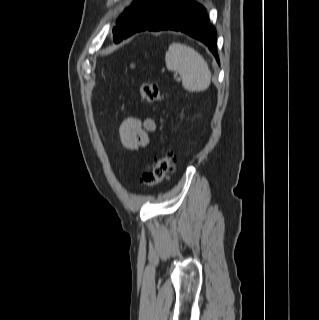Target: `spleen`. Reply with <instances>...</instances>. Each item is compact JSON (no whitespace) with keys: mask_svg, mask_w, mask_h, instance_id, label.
<instances>
[{"mask_svg":"<svg viewBox=\"0 0 319 320\" xmlns=\"http://www.w3.org/2000/svg\"><path fill=\"white\" fill-rule=\"evenodd\" d=\"M166 67L181 75L183 87L190 92L206 90L211 82V72L204 58L193 48L172 43L165 54Z\"/></svg>","mask_w":319,"mask_h":320,"instance_id":"spleen-1","label":"spleen"}]
</instances>
